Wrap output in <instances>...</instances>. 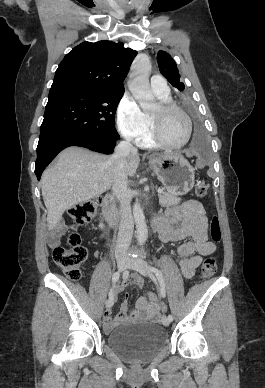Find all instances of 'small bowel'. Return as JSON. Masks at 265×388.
<instances>
[{"label":"small bowel","mask_w":265,"mask_h":388,"mask_svg":"<svg viewBox=\"0 0 265 388\" xmlns=\"http://www.w3.org/2000/svg\"><path fill=\"white\" fill-rule=\"evenodd\" d=\"M165 227L160 232L164 242H182L177 247V255L180 258V269L184 278L194 276L204 256L211 255L216 250V245L208 240V220L203 205L197 200H189L181 205L170 207L163 216ZM68 230L64 221L59 220L51 227L49 239L51 245L57 243L58 238ZM186 239H190L186 241ZM144 279L134 274L117 286L115 295L124 292L129 286L143 287ZM114 297V293H113ZM128 296L122 303L120 312L113 318L110 311H106L103 317L105 331H110L118 325L130 321H156L160 316V306L148 303L145 298L138 300V310L127 313Z\"/></svg>","instance_id":"c3829d8e"}]
</instances>
